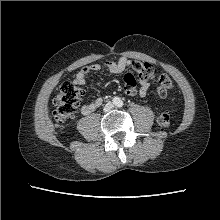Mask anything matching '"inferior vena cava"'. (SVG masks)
Here are the masks:
<instances>
[{
  "mask_svg": "<svg viewBox=\"0 0 220 220\" xmlns=\"http://www.w3.org/2000/svg\"><path fill=\"white\" fill-rule=\"evenodd\" d=\"M112 107H113V104H112L111 102H108V103L105 105V107H104V111H105V112H106V111H109V110L112 109Z\"/></svg>",
  "mask_w": 220,
  "mask_h": 220,
  "instance_id": "602c4592",
  "label": "inferior vena cava"
}]
</instances>
